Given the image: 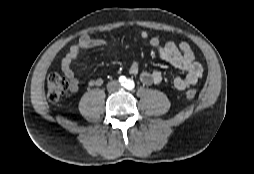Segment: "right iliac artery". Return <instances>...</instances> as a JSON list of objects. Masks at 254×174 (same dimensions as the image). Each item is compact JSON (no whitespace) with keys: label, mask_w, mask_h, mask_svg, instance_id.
<instances>
[{"label":"right iliac artery","mask_w":254,"mask_h":174,"mask_svg":"<svg viewBox=\"0 0 254 174\" xmlns=\"http://www.w3.org/2000/svg\"><path fill=\"white\" fill-rule=\"evenodd\" d=\"M119 82L123 85L126 82V77L125 76H120L119 77Z\"/></svg>","instance_id":"82829eb1"}]
</instances>
